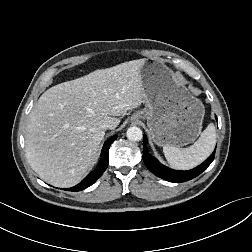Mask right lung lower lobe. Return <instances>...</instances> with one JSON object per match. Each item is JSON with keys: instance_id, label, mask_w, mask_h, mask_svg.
<instances>
[{"instance_id": "obj_1", "label": "right lung lower lobe", "mask_w": 252, "mask_h": 252, "mask_svg": "<svg viewBox=\"0 0 252 252\" xmlns=\"http://www.w3.org/2000/svg\"><path fill=\"white\" fill-rule=\"evenodd\" d=\"M117 138V136H113L110 139H108L102 148L101 152V160L97 164V167L94 171H92L85 179H83L78 185L67 188L65 190L67 191H81L89 186H91L93 183L96 182V180L104 173L108 166V152L109 147L112 144V142Z\"/></svg>"}]
</instances>
